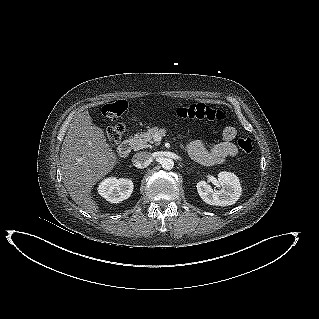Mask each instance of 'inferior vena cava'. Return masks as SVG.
Here are the masks:
<instances>
[{"instance_id":"1","label":"inferior vena cava","mask_w":319,"mask_h":319,"mask_svg":"<svg viewBox=\"0 0 319 319\" xmlns=\"http://www.w3.org/2000/svg\"><path fill=\"white\" fill-rule=\"evenodd\" d=\"M152 161L153 157L151 153L146 151L138 152L132 158L133 165L140 169L149 166Z\"/></svg>"}]
</instances>
